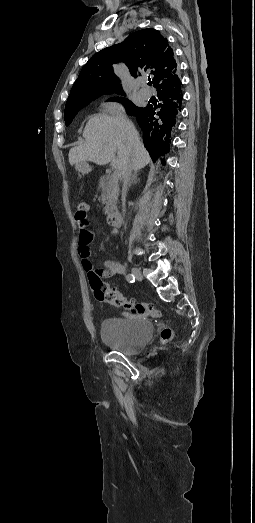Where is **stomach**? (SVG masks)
Wrapping results in <instances>:
<instances>
[{"label":"stomach","mask_w":255,"mask_h":523,"mask_svg":"<svg viewBox=\"0 0 255 523\" xmlns=\"http://www.w3.org/2000/svg\"><path fill=\"white\" fill-rule=\"evenodd\" d=\"M79 173L81 176H90L92 173V168L90 165H81L79 168Z\"/></svg>","instance_id":"0dacf381"}]
</instances>
